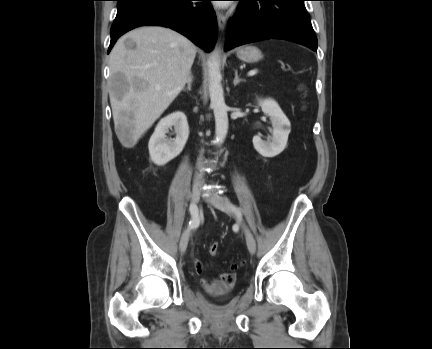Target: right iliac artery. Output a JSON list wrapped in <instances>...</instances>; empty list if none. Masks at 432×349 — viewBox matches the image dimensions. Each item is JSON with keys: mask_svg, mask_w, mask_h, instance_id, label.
Returning <instances> with one entry per match:
<instances>
[{"mask_svg": "<svg viewBox=\"0 0 432 349\" xmlns=\"http://www.w3.org/2000/svg\"><path fill=\"white\" fill-rule=\"evenodd\" d=\"M190 213H191V221L189 222V229L190 230H192V229H194L196 226H197V217H196V215H197V206L196 205H193V204H191L190 205Z\"/></svg>", "mask_w": 432, "mask_h": 349, "instance_id": "82829eb1", "label": "right iliac artery"}]
</instances>
